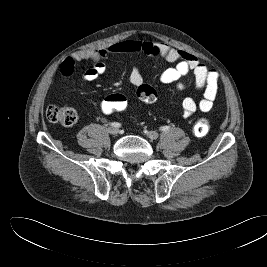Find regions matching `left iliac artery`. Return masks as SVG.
<instances>
[{
  "instance_id": "left-iliac-artery-1",
  "label": "left iliac artery",
  "mask_w": 267,
  "mask_h": 267,
  "mask_svg": "<svg viewBox=\"0 0 267 267\" xmlns=\"http://www.w3.org/2000/svg\"><path fill=\"white\" fill-rule=\"evenodd\" d=\"M169 129H170V126H162V127H160V131H163V132L169 131Z\"/></svg>"
}]
</instances>
